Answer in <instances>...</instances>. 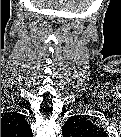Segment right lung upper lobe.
Instances as JSON below:
<instances>
[{
  "mask_svg": "<svg viewBox=\"0 0 121 137\" xmlns=\"http://www.w3.org/2000/svg\"><path fill=\"white\" fill-rule=\"evenodd\" d=\"M30 131L28 122L22 114L10 112L1 118V134H20Z\"/></svg>",
  "mask_w": 121,
  "mask_h": 137,
  "instance_id": "1",
  "label": "right lung upper lobe"
}]
</instances>
